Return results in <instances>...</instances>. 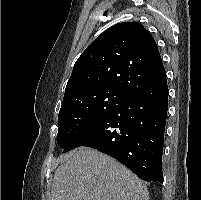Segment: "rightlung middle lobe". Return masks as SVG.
I'll list each match as a JSON object with an SVG mask.
<instances>
[{
	"label": "right lung middle lobe",
	"instance_id": "1",
	"mask_svg": "<svg viewBox=\"0 0 201 200\" xmlns=\"http://www.w3.org/2000/svg\"><path fill=\"white\" fill-rule=\"evenodd\" d=\"M128 96L108 90L88 91L62 102L57 143L65 149L84 129L120 106Z\"/></svg>",
	"mask_w": 201,
	"mask_h": 200
}]
</instances>
